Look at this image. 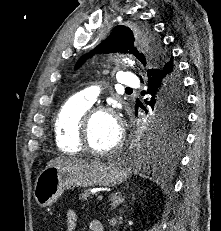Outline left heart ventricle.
Wrapping results in <instances>:
<instances>
[{
	"label": "left heart ventricle",
	"instance_id": "left-heart-ventricle-1",
	"mask_svg": "<svg viewBox=\"0 0 221 231\" xmlns=\"http://www.w3.org/2000/svg\"><path fill=\"white\" fill-rule=\"evenodd\" d=\"M118 133V125L111 115L97 114L90 125V145L97 150L107 149L116 142Z\"/></svg>",
	"mask_w": 221,
	"mask_h": 231
}]
</instances>
